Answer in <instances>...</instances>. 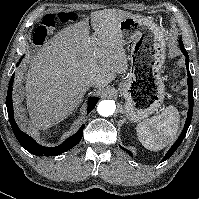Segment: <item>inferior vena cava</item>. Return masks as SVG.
Listing matches in <instances>:
<instances>
[{"label": "inferior vena cava", "instance_id": "obj_1", "mask_svg": "<svg viewBox=\"0 0 199 199\" xmlns=\"http://www.w3.org/2000/svg\"><path fill=\"white\" fill-rule=\"evenodd\" d=\"M95 85V81L94 80H88L86 83H85V88L86 89H89L91 86H94Z\"/></svg>", "mask_w": 199, "mask_h": 199}]
</instances>
